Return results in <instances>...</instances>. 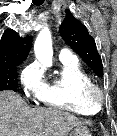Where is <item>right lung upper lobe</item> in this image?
Returning a JSON list of instances; mask_svg holds the SVG:
<instances>
[{
  "label": "right lung upper lobe",
  "instance_id": "obj_1",
  "mask_svg": "<svg viewBox=\"0 0 117 136\" xmlns=\"http://www.w3.org/2000/svg\"><path fill=\"white\" fill-rule=\"evenodd\" d=\"M32 36L20 37L14 30L8 29L0 40V66L20 64L30 51Z\"/></svg>",
  "mask_w": 117,
  "mask_h": 136
}]
</instances>
